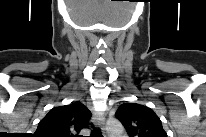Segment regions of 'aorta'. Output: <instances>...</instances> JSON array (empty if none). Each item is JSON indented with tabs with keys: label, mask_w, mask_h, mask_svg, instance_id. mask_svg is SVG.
<instances>
[{
	"label": "aorta",
	"mask_w": 206,
	"mask_h": 137,
	"mask_svg": "<svg viewBox=\"0 0 206 137\" xmlns=\"http://www.w3.org/2000/svg\"><path fill=\"white\" fill-rule=\"evenodd\" d=\"M107 131L111 137H117L122 135L124 128L118 121L114 123L110 122L107 126Z\"/></svg>",
	"instance_id": "obj_1"
}]
</instances>
